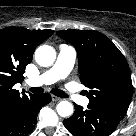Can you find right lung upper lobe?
Here are the masks:
<instances>
[{"label": "right lung upper lobe", "instance_id": "cb5924a9", "mask_svg": "<svg viewBox=\"0 0 136 136\" xmlns=\"http://www.w3.org/2000/svg\"><path fill=\"white\" fill-rule=\"evenodd\" d=\"M53 34L52 30L7 27L0 30V116L14 110L29 96L13 89L22 83L25 67L35 48ZM31 96V95H30Z\"/></svg>", "mask_w": 136, "mask_h": 136}]
</instances>
